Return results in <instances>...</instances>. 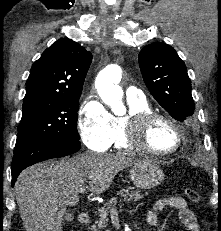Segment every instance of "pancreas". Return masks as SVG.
Returning a JSON list of instances; mask_svg holds the SVG:
<instances>
[{"instance_id": "pancreas-1", "label": "pancreas", "mask_w": 221, "mask_h": 231, "mask_svg": "<svg viewBox=\"0 0 221 231\" xmlns=\"http://www.w3.org/2000/svg\"><path fill=\"white\" fill-rule=\"evenodd\" d=\"M117 195H119L120 197V202L121 201L130 202L132 200L138 201L144 197V195L141 194L139 190H133L132 187L118 191ZM116 203H117V197H113L102 208L98 210L99 220L96 221V224H98V229H102L107 226V221H108L107 216L110 213L112 207L116 205ZM93 231H97L95 226H93Z\"/></svg>"}]
</instances>
